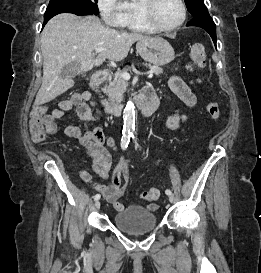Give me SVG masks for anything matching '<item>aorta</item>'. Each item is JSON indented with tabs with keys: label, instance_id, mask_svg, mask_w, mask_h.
<instances>
[{
	"label": "aorta",
	"instance_id": "1",
	"mask_svg": "<svg viewBox=\"0 0 261 273\" xmlns=\"http://www.w3.org/2000/svg\"><path fill=\"white\" fill-rule=\"evenodd\" d=\"M124 127L129 130L135 129V106L132 101H128L123 114Z\"/></svg>",
	"mask_w": 261,
	"mask_h": 273
}]
</instances>
